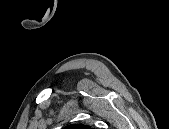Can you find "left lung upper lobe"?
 <instances>
[{"mask_svg":"<svg viewBox=\"0 0 169 129\" xmlns=\"http://www.w3.org/2000/svg\"><path fill=\"white\" fill-rule=\"evenodd\" d=\"M90 127L82 124H72L66 127V129H89Z\"/></svg>","mask_w":169,"mask_h":129,"instance_id":"left-lung-upper-lobe-1","label":"left lung upper lobe"}]
</instances>
